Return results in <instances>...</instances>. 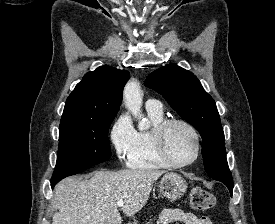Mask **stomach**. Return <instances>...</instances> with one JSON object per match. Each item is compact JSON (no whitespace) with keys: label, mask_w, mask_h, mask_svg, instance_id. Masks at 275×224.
Masks as SVG:
<instances>
[{"label":"stomach","mask_w":275,"mask_h":224,"mask_svg":"<svg viewBox=\"0 0 275 224\" xmlns=\"http://www.w3.org/2000/svg\"><path fill=\"white\" fill-rule=\"evenodd\" d=\"M159 190L164 197L170 201H174L184 195L187 190V183L181 175L177 173H167L159 182Z\"/></svg>","instance_id":"0dacf381"}]
</instances>
